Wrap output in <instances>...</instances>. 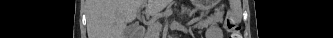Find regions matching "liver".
I'll return each mask as SVG.
<instances>
[{"instance_id": "1", "label": "liver", "mask_w": 333, "mask_h": 38, "mask_svg": "<svg viewBox=\"0 0 333 38\" xmlns=\"http://www.w3.org/2000/svg\"><path fill=\"white\" fill-rule=\"evenodd\" d=\"M169 2L170 0H89L88 38H124L127 24L135 20L142 6H146V14L154 15Z\"/></svg>"}]
</instances>
